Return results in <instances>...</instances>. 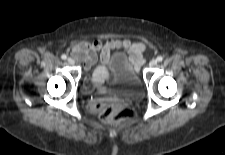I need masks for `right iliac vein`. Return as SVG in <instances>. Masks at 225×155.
<instances>
[{
  "instance_id": "obj_1",
  "label": "right iliac vein",
  "mask_w": 225,
  "mask_h": 155,
  "mask_svg": "<svg viewBox=\"0 0 225 155\" xmlns=\"http://www.w3.org/2000/svg\"><path fill=\"white\" fill-rule=\"evenodd\" d=\"M67 62H68L70 65H73V64L75 63L74 59L71 58V57H69V58L67 59Z\"/></svg>"
}]
</instances>
